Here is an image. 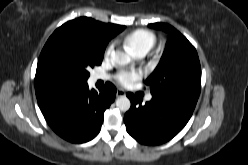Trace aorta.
Here are the masks:
<instances>
[{
  "instance_id": "aorta-1",
  "label": "aorta",
  "mask_w": 248,
  "mask_h": 165,
  "mask_svg": "<svg viewBox=\"0 0 248 165\" xmlns=\"http://www.w3.org/2000/svg\"><path fill=\"white\" fill-rule=\"evenodd\" d=\"M111 60L117 65H126L131 61V58L122 51H113L111 53ZM116 106L120 111L126 112L130 109L131 102L126 96H120L116 100Z\"/></svg>"
}]
</instances>
